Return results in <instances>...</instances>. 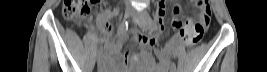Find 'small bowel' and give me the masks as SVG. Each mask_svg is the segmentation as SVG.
Instances as JSON below:
<instances>
[{"label": "small bowel", "instance_id": "obj_1", "mask_svg": "<svg viewBox=\"0 0 267 72\" xmlns=\"http://www.w3.org/2000/svg\"><path fill=\"white\" fill-rule=\"evenodd\" d=\"M158 11H159V13L161 15H164V13H165L164 4H159ZM179 13H180V8L178 6H176L174 8V10H173L174 22L179 21V22H182L183 24H188V23L193 22L192 19H188V21H186V22H183V21L179 20L177 18ZM107 17H108V15H104L102 17V19L100 20V26H101L102 29H104L106 27V25H107L106 24L107 23ZM130 38L135 39L138 42V44H139V46L141 48H146V47H149V46H153L155 44V42H156L155 37L147 36V35H140V36L131 35ZM106 50H107L108 53L111 52L112 48H111V46L109 44L106 45ZM156 55L158 57L161 56L159 51H156ZM129 56H130V53L128 51L126 53V57H129ZM145 62L149 65L150 72H163L164 71V67L166 66V62L164 60H162V67L155 66V61L150 56H147L145 58ZM121 69L122 68H120V70Z\"/></svg>", "mask_w": 267, "mask_h": 72}]
</instances>
